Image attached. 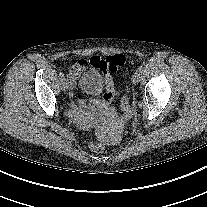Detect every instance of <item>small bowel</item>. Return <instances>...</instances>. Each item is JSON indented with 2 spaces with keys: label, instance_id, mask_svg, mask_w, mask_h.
<instances>
[{
  "label": "small bowel",
  "instance_id": "obj_1",
  "mask_svg": "<svg viewBox=\"0 0 207 207\" xmlns=\"http://www.w3.org/2000/svg\"><path fill=\"white\" fill-rule=\"evenodd\" d=\"M100 58H94L98 61ZM84 67L83 63H79L74 72H78ZM71 85L73 86V77L70 76ZM118 91L112 77L107 74L105 80V91L100 99L88 101L87 99H75L72 97L70 103L69 114L72 118L78 119L86 117L88 122L81 123L84 128H93L97 124V117L104 113L117 97Z\"/></svg>",
  "mask_w": 207,
  "mask_h": 207
}]
</instances>
